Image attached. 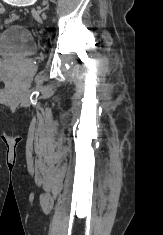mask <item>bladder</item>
Wrapping results in <instances>:
<instances>
[{
  "label": "bladder",
  "instance_id": "1",
  "mask_svg": "<svg viewBox=\"0 0 163 235\" xmlns=\"http://www.w3.org/2000/svg\"><path fill=\"white\" fill-rule=\"evenodd\" d=\"M36 54V43L25 26L11 25L0 32V56L26 59Z\"/></svg>",
  "mask_w": 163,
  "mask_h": 235
}]
</instances>
